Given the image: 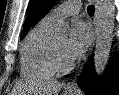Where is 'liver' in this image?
I'll return each instance as SVG.
<instances>
[{
	"mask_svg": "<svg viewBox=\"0 0 119 95\" xmlns=\"http://www.w3.org/2000/svg\"><path fill=\"white\" fill-rule=\"evenodd\" d=\"M62 83L57 80H39L34 82V84L21 83L16 86L14 93H19V90H27L30 95H58L62 88Z\"/></svg>",
	"mask_w": 119,
	"mask_h": 95,
	"instance_id": "liver-1",
	"label": "liver"
}]
</instances>
